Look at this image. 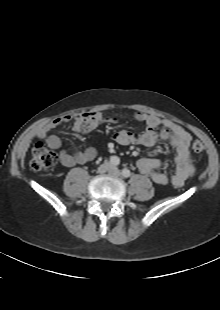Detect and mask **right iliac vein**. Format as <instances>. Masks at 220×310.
Listing matches in <instances>:
<instances>
[{"label": "right iliac vein", "instance_id": "63e3f726", "mask_svg": "<svg viewBox=\"0 0 220 310\" xmlns=\"http://www.w3.org/2000/svg\"><path fill=\"white\" fill-rule=\"evenodd\" d=\"M110 168H111V165L106 162L99 166L98 172L103 174V173L110 171Z\"/></svg>", "mask_w": 220, "mask_h": 310}]
</instances>
